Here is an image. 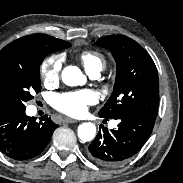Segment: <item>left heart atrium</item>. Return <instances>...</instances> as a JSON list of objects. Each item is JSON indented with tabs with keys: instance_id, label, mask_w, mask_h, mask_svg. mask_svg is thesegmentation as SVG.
Wrapping results in <instances>:
<instances>
[{
	"instance_id": "left-heart-atrium-1",
	"label": "left heart atrium",
	"mask_w": 183,
	"mask_h": 183,
	"mask_svg": "<svg viewBox=\"0 0 183 183\" xmlns=\"http://www.w3.org/2000/svg\"><path fill=\"white\" fill-rule=\"evenodd\" d=\"M97 101L96 94L90 89L64 92L53 97L54 108L68 116H80Z\"/></svg>"
}]
</instances>
